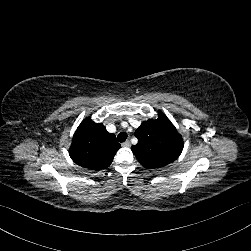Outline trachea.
Instances as JSON below:
<instances>
[{"mask_svg": "<svg viewBox=\"0 0 251 251\" xmlns=\"http://www.w3.org/2000/svg\"><path fill=\"white\" fill-rule=\"evenodd\" d=\"M117 139L119 142H122V143L125 142L127 139V133L125 132L119 133Z\"/></svg>", "mask_w": 251, "mask_h": 251, "instance_id": "1", "label": "trachea"}]
</instances>
